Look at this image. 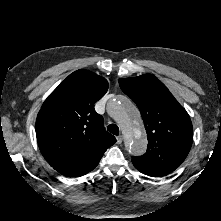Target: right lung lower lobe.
Here are the masks:
<instances>
[{
    "label": "right lung lower lobe",
    "instance_id": "98d812e1",
    "mask_svg": "<svg viewBox=\"0 0 221 221\" xmlns=\"http://www.w3.org/2000/svg\"><path fill=\"white\" fill-rule=\"evenodd\" d=\"M105 151L106 150L95 151L79 158L58 164L53 168L65 176L79 177L93 170L98 165Z\"/></svg>",
    "mask_w": 221,
    "mask_h": 221
}]
</instances>
